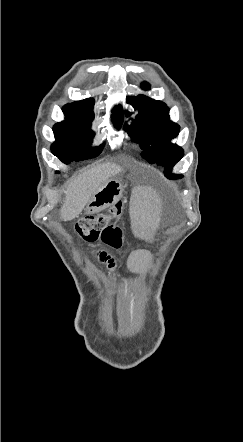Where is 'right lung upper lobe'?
Instances as JSON below:
<instances>
[{
	"instance_id": "right-lung-upper-lobe-1",
	"label": "right lung upper lobe",
	"mask_w": 243,
	"mask_h": 442,
	"mask_svg": "<svg viewBox=\"0 0 243 442\" xmlns=\"http://www.w3.org/2000/svg\"><path fill=\"white\" fill-rule=\"evenodd\" d=\"M93 106L94 100L89 98L81 101H76L67 104L63 107V111L69 115L83 118L86 120H93ZM112 119L115 120V125L120 127L123 121V111L121 106H117L113 110Z\"/></svg>"
}]
</instances>
